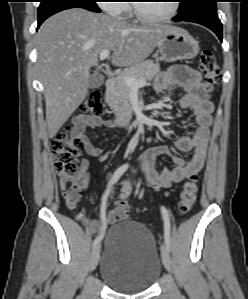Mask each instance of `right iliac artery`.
Masks as SVG:
<instances>
[{"mask_svg":"<svg viewBox=\"0 0 248 299\" xmlns=\"http://www.w3.org/2000/svg\"><path fill=\"white\" fill-rule=\"evenodd\" d=\"M129 164H123L122 166H120L113 174L112 178L110 179L108 185H107V189L105 191V193L102 196V202H101V220L103 221V226L101 227L100 230V234L96 237V239L93 242V245L95 246L97 243H99L104 236V232L106 229V224H105V216H106V203H107V198L108 195L111 191L112 186L120 179V177L126 172V170L128 169Z\"/></svg>","mask_w":248,"mask_h":299,"instance_id":"obj_1","label":"right iliac artery"}]
</instances>
